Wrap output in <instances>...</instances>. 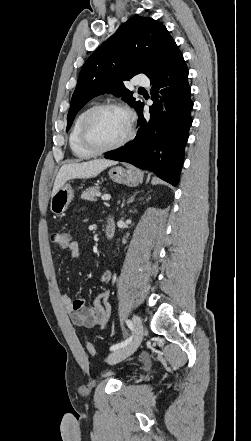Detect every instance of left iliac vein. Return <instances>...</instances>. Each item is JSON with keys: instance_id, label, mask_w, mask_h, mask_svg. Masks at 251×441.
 <instances>
[{"instance_id": "4c4485c4", "label": "left iliac vein", "mask_w": 251, "mask_h": 441, "mask_svg": "<svg viewBox=\"0 0 251 441\" xmlns=\"http://www.w3.org/2000/svg\"><path fill=\"white\" fill-rule=\"evenodd\" d=\"M132 321L135 330L132 340L124 347L119 348L109 354L106 360L109 364H116L123 361L131 354H133L141 344L144 335V328L142 321L140 317L137 315H133Z\"/></svg>"}]
</instances>
